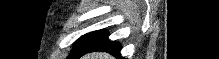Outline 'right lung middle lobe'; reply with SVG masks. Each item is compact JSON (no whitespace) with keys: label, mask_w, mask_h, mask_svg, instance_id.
I'll return each instance as SVG.
<instances>
[{"label":"right lung middle lobe","mask_w":219,"mask_h":59,"mask_svg":"<svg viewBox=\"0 0 219 59\" xmlns=\"http://www.w3.org/2000/svg\"><path fill=\"white\" fill-rule=\"evenodd\" d=\"M107 36V33L102 30L88 33L79 38L74 43V49L71 51L67 59H78L83 54L91 50L99 41Z\"/></svg>","instance_id":"obj_1"}]
</instances>
